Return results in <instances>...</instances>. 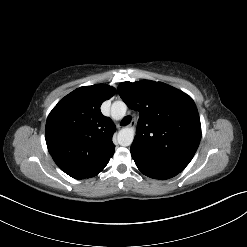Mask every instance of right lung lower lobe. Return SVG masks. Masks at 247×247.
Returning <instances> with one entry per match:
<instances>
[{
    "label": "right lung lower lobe",
    "mask_w": 247,
    "mask_h": 247,
    "mask_svg": "<svg viewBox=\"0 0 247 247\" xmlns=\"http://www.w3.org/2000/svg\"><path fill=\"white\" fill-rule=\"evenodd\" d=\"M109 160L104 163L100 168H98L95 172H93L91 175H89L88 177L86 178H90V177H93L95 175H97L100 171H102L104 169V167L108 164Z\"/></svg>",
    "instance_id": "obj_1"
}]
</instances>
